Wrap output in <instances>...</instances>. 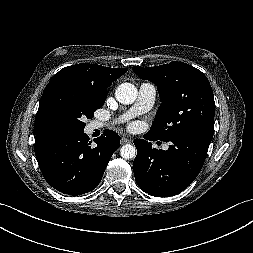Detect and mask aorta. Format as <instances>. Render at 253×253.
I'll list each match as a JSON object with an SVG mask.
<instances>
[{
	"label": "aorta",
	"mask_w": 253,
	"mask_h": 253,
	"mask_svg": "<svg viewBox=\"0 0 253 253\" xmlns=\"http://www.w3.org/2000/svg\"><path fill=\"white\" fill-rule=\"evenodd\" d=\"M138 95L137 88L131 83L120 84L115 91V97L121 104L133 103ZM120 155L124 159H133L136 156V148L131 144L123 145L120 149Z\"/></svg>",
	"instance_id": "762f6f07"
}]
</instances>
